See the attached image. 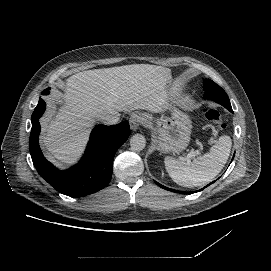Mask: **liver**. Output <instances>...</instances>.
I'll use <instances>...</instances> for the list:
<instances>
[{
  "label": "liver",
  "mask_w": 271,
  "mask_h": 271,
  "mask_svg": "<svg viewBox=\"0 0 271 271\" xmlns=\"http://www.w3.org/2000/svg\"><path fill=\"white\" fill-rule=\"evenodd\" d=\"M169 69L126 65L83 71L63 83L54 110L44 119L42 144L58 159L73 161L98 115L145 109L158 112L164 101ZM60 106V107H59Z\"/></svg>",
  "instance_id": "liver-1"
}]
</instances>
